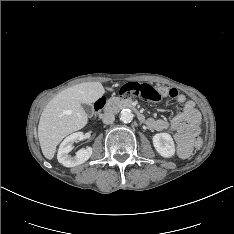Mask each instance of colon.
Returning a JSON list of instances; mask_svg holds the SVG:
<instances>
[{"label": "colon", "instance_id": "obj_1", "mask_svg": "<svg viewBox=\"0 0 234 234\" xmlns=\"http://www.w3.org/2000/svg\"><path fill=\"white\" fill-rule=\"evenodd\" d=\"M120 94L123 97L139 96L149 101H157L162 96L170 95V92L167 88H164V87L160 89H155L154 87L148 84H139V83L131 82V83L125 84L121 88ZM102 103H103V100H99L96 103L95 105L96 110H99L101 108ZM195 145L196 147H200L201 141L197 140Z\"/></svg>", "mask_w": 234, "mask_h": 234}]
</instances>
